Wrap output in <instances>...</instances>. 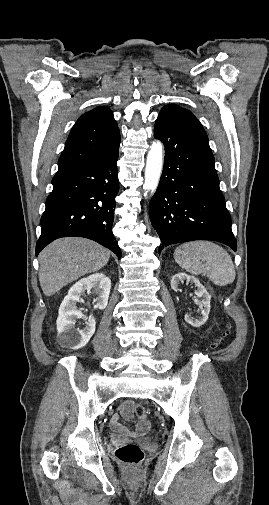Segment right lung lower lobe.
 <instances>
[{
  "instance_id": "right-lung-lower-lobe-1",
  "label": "right lung lower lobe",
  "mask_w": 269,
  "mask_h": 505,
  "mask_svg": "<svg viewBox=\"0 0 269 505\" xmlns=\"http://www.w3.org/2000/svg\"><path fill=\"white\" fill-rule=\"evenodd\" d=\"M118 156L119 145L95 159L58 170L41 217L36 256L57 238L78 236L98 242L121 258L111 231L119 190Z\"/></svg>"
}]
</instances>
